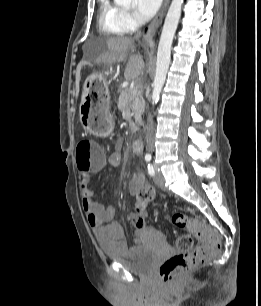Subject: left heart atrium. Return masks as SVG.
<instances>
[{"label": "left heart atrium", "mask_w": 261, "mask_h": 306, "mask_svg": "<svg viewBox=\"0 0 261 306\" xmlns=\"http://www.w3.org/2000/svg\"><path fill=\"white\" fill-rule=\"evenodd\" d=\"M161 2L162 0H135V15L141 20H148L157 12Z\"/></svg>", "instance_id": "1"}]
</instances>
